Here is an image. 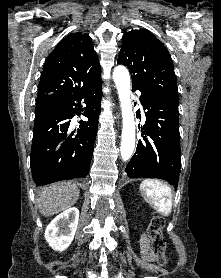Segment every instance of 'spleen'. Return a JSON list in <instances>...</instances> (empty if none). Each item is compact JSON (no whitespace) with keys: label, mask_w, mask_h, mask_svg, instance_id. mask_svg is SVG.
Returning <instances> with one entry per match:
<instances>
[{"label":"spleen","mask_w":221,"mask_h":278,"mask_svg":"<svg viewBox=\"0 0 221 278\" xmlns=\"http://www.w3.org/2000/svg\"><path fill=\"white\" fill-rule=\"evenodd\" d=\"M140 191L158 213L163 216L171 213L172 194L167 184L156 179H146L140 184Z\"/></svg>","instance_id":"spleen-1"}]
</instances>
